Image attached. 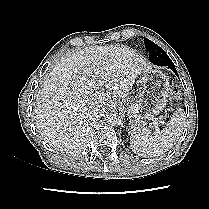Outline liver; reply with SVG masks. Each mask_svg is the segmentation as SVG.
Here are the masks:
<instances>
[{
	"mask_svg": "<svg viewBox=\"0 0 209 209\" xmlns=\"http://www.w3.org/2000/svg\"><path fill=\"white\" fill-rule=\"evenodd\" d=\"M149 66L122 46H90L58 63L37 95L36 124L45 142L66 153L81 152L95 114L125 98Z\"/></svg>",
	"mask_w": 209,
	"mask_h": 209,
	"instance_id": "liver-1",
	"label": "liver"
}]
</instances>
